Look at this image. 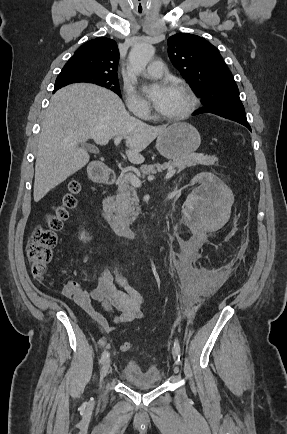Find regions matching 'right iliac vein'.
Listing matches in <instances>:
<instances>
[{"instance_id":"1","label":"right iliac vein","mask_w":287,"mask_h":434,"mask_svg":"<svg viewBox=\"0 0 287 434\" xmlns=\"http://www.w3.org/2000/svg\"><path fill=\"white\" fill-rule=\"evenodd\" d=\"M111 366V359L108 357L102 365L101 372H100V381L102 382L105 376L109 373Z\"/></svg>"}]
</instances>
